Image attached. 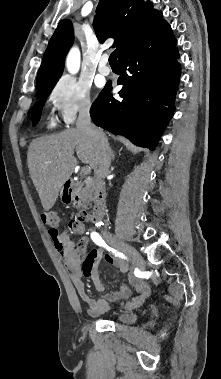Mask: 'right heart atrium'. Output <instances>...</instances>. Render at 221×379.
<instances>
[{
    "label": "right heart atrium",
    "instance_id": "d8ad5b80",
    "mask_svg": "<svg viewBox=\"0 0 221 379\" xmlns=\"http://www.w3.org/2000/svg\"><path fill=\"white\" fill-rule=\"evenodd\" d=\"M48 100L57 118L66 125L73 124L78 115L88 114L92 108L89 87L71 77L59 79L49 91Z\"/></svg>",
    "mask_w": 221,
    "mask_h": 379
}]
</instances>
